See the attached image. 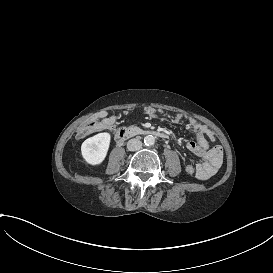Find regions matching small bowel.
Here are the masks:
<instances>
[{
	"mask_svg": "<svg viewBox=\"0 0 273 273\" xmlns=\"http://www.w3.org/2000/svg\"><path fill=\"white\" fill-rule=\"evenodd\" d=\"M187 120L189 129L195 135V141L187 143V149L194 155L200 157L202 162L196 166V175L201 180H206L212 176L221 166L223 160V149L221 146H209L207 137H212L211 131L207 126L198 123L194 119H187L184 115L178 114L174 118L175 123H181ZM119 117L110 115L107 112H99L95 116V123L91 127H82L80 134L89 135L100 131H112L118 124ZM189 174L195 171L192 165L186 168Z\"/></svg>",
	"mask_w": 273,
	"mask_h": 273,
	"instance_id": "c3829d8e",
	"label": "small bowel"
}]
</instances>
